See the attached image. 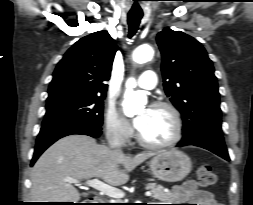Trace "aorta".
Returning <instances> with one entry per match:
<instances>
[{"label": "aorta", "mask_w": 253, "mask_h": 205, "mask_svg": "<svg viewBox=\"0 0 253 205\" xmlns=\"http://www.w3.org/2000/svg\"><path fill=\"white\" fill-rule=\"evenodd\" d=\"M154 50L150 45H141L133 51V60L136 63L143 64L151 60ZM136 81L129 78L126 82L125 99L123 101V111L128 117L139 113L147 103V97L143 91H134Z\"/></svg>", "instance_id": "1"}]
</instances>
